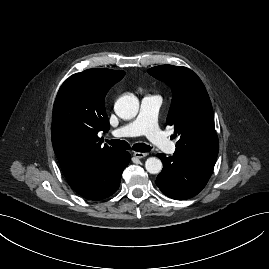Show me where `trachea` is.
<instances>
[{"mask_svg": "<svg viewBox=\"0 0 269 269\" xmlns=\"http://www.w3.org/2000/svg\"><path fill=\"white\" fill-rule=\"evenodd\" d=\"M106 142L117 149H123V150L130 149V145L124 140L114 139V140H106ZM132 149L137 152H149L152 148L144 143H136L132 146Z\"/></svg>", "mask_w": 269, "mask_h": 269, "instance_id": "3493384b", "label": "trachea"}]
</instances>
